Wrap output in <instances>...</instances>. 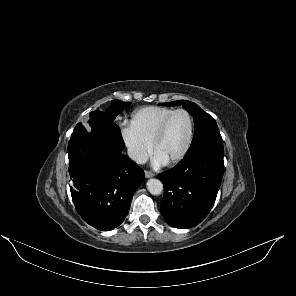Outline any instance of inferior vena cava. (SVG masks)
Instances as JSON below:
<instances>
[{"label":"inferior vena cava","mask_w":296,"mask_h":296,"mask_svg":"<svg viewBox=\"0 0 296 296\" xmlns=\"http://www.w3.org/2000/svg\"><path fill=\"white\" fill-rule=\"evenodd\" d=\"M129 157L138 164H144L147 162V155L137 149H128Z\"/></svg>","instance_id":"1"}]
</instances>
